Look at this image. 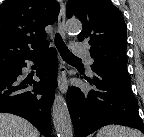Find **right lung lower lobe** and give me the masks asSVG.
I'll return each mask as SVG.
<instances>
[{
    "label": "right lung lower lobe",
    "mask_w": 144,
    "mask_h": 137,
    "mask_svg": "<svg viewBox=\"0 0 144 137\" xmlns=\"http://www.w3.org/2000/svg\"><path fill=\"white\" fill-rule=\"evenodd\" d=\"M25 60L37 63L36 76L24 77ZM58 63L56 51L48 45L0 73V112L19 115L30 121L45 137L51 136L50 108L54 99Z\"/></svg>",
    "instance_id": "98d812e1"
}]
</instances>
